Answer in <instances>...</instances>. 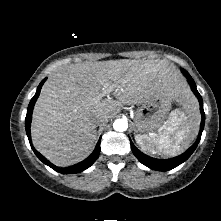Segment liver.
Wrapping results in <instances>:
<instances>
[{
    "label": "liver",
    "mask_w": 221,
    "mask_h": 221,
    "mask_svg": "<svg viewBox=\"0 0 221 221\" xmlns=\"http://www.w3.org/2000/svg\"><path fill=\"white\" fill-rule=\"evenodd\" d=\"M107 87L117 100L102 99ZM163 92L183 106L189 102L179 73L164 60L120 59L61 67L49 76L35 104L33 145L56 166L76 164L93 149L98 114L111 118L123 104L138 105Z\"/></svg>",
    "instance_id": "obj_1"
}]
</instances>
